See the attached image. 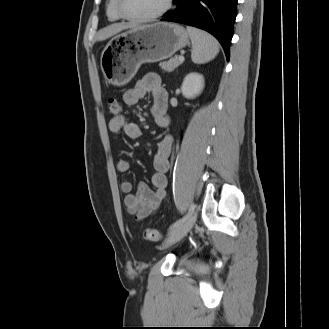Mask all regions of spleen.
Returning a JSON list of instances; mask_svg holds the SVG:
<instances>
[{"label": "spleen", "mask_w": 329, "mask_h": 329, "mask_svg": "<svg viewBox=\"0 0 329 329\" xmlns=\"http://www.w3.org/2000/svg\"><path fill=\"white\" fill-rule=\"evenodd\" d=\"M191 42V59L196 64H204L216 57L219 53L217 40L209 33L194 27H187Z\"/></svg>", "instance_id": "3e777b00"}]
</instances>
